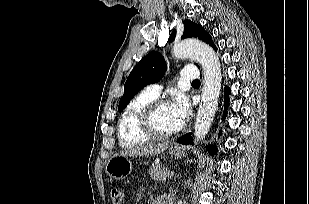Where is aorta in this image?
I'll list each match as a JSON object with an SVG mask.
<instances>
[{
    "instance_id": "762f6f07",
    "label": "aorta",
    "mask_w": 309,
    "mask_h": 204,
    "mask_svg": "<svg viewBox=\"0 0 309 204\" xmlns=\"http://www.w3.org/2000/svg\"><path fill=\"white\" fill-rule=\"evenodd\" d=\"M172 53L176 59L198 61L203 69L202 99L194 126V136L199 141L207 135L218 106L222 79L220 61L210 46L198 40L175 43Z\"/></svg>"
}]
</instances>
